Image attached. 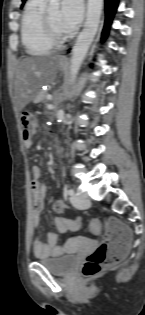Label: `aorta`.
Returning a JSON list of instances; mask_svg holds the SVG:
<instances>
[{"label":"aorta","mask_w":145,"mask_h":315,"mask_svg":"<svg viewBox=\"0 0 145 315\" xmlns=\"http://www.w3.org/2000/svg\"><path fill=\"white\" fill-rule=\"evenodd\" d=\"M103 7V0H88L86 21L84 28L79 34L72 50L71 67H70V83L76 79L78 71L87 54L100 23V17ZM59 0H49V10H58Z\"/></svg>","instance_id":"aorta-1"}]
</instances>
